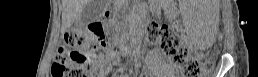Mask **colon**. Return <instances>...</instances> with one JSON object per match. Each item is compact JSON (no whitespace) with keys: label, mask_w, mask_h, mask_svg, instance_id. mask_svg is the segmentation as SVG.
Masks as SVG:
<instances>
[{"label":"colon","mask_w":258,"mask_h":77,"mask_svg":"<svg viewBox=\"0 0 258 77\" xmlns=\"http://www.w3.org/2000/svg\"><path fill=\"white\" fill-rule=\"evenodd\" d=\"M147 38L161 46L171 63L181 69L185 77H202L212 69L211 62L192 55L182 45L179 35L165 24L150 23ZM108 39L109 34L101 25L93 34L67 32L54 58L52 77H89L98 67L96 52L101 48L117 49Z\"/></svg>","instance_id":"obj_1"}]
</instances>
